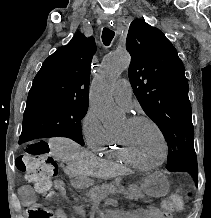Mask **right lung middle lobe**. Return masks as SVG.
Listing matches in <instances>:
<instances>
[{
  "instance_id": "1",
  "label": "right lung middle lobe",
  "mask_w": 211,
  "mask_h": 218,
  "mask_svg": "<svg viewBox=\"0 0 211 218\" xmlns=\"http://www.w3.org/2000/svg\"><path fill=\"white\" fill-rule=\"evenodd\" d=\"M87 109L88 103L72 101L27 103L22 136L29 139L64 136L83 145L81 119L85 116Z\"/></svg>"
}]
</instances>
